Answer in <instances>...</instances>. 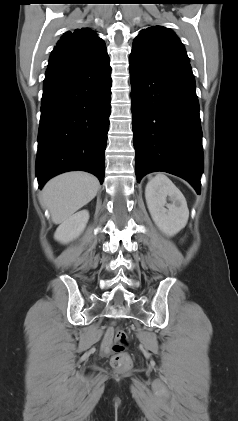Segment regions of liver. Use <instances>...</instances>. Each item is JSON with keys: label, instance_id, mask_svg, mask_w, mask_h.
<instances>
[{"label": "liver", "instance_id": "6515ba94", "mask_svg": "<svg viewBox=\"0 0 238 421\" xmlns=\"http://www.w3.org/2000/svg\"><path fill=\"white\" fill-rule=\"evenodd\" d=\"M99 189L98 179L86 172H69L56 176L44 186L42 205L48 208L52 221L60 224L89 203Z\"/></svg>", "mask_w": 238, "mask_h": 421}]
</instances>
